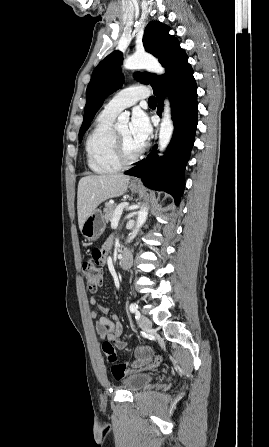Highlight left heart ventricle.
<instances>
[{
    "label": "left heart ventricle",
    "mask_w": 269,
    "mask_h": 447,
    "mask_svg": "<svg viewBox=\"0 0 269 447\" xmlns=\"http://www.w3.org/2000/svg\"><path fill=\"white\" fill-rule=\"evenodd\" d=\"M116 132L120 140L122 141L126 149V152L129 156H134L141 151L144 144H141L132 137L129 126L117 130Z\"/></svg>",
    "instance_id": "obj_1"
}]
</instances>
